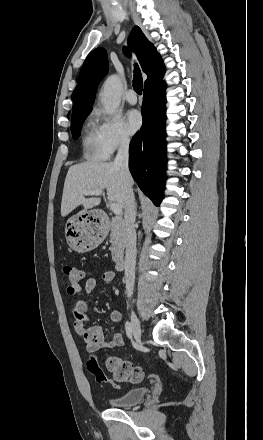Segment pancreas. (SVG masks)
<instances>
[{
    "mask_svg": "<svg viewBox=\"0 0 263 440\" xmlns=\"http://www.w3.org/2000/svg\"><path fill=\"white\" fill-rule=\"evenodd\" d=\"M110 227V250L112 253V260L117 262L122 256L125 245V224L122 218L116 217L112 219Z\"/></svg>",
    "mask_w": 263,
    "mask_h": 440,
    "instance_id": "cf45deb5",
    "label": "pancreas"
}]
</instances>
